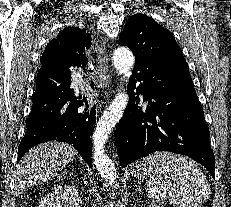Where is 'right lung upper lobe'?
I'll list each match as a JSON object with an SVG mask.
<instances>
[{
    "instance_id": "right-lung-upper-lobe-1",
    "label": "right lung upper lobe",
    "mask_w": 231,
    "mask_h": 207,
    "mask_svg": "<svg viewBox=\"0 0 231 207\" xmlns=\"http://www.w3.org/2000/svg\"><path fill=\"white\" fill-rule=\"evenodd\" d=\"M62 30L56 39L50 41L41 57L42 65H59L65 68L80 67L87 63L85 49L91 45V37L86 34ZM83 32V30H82Z\"/></svg>"
}]
</instances>
